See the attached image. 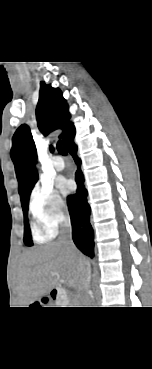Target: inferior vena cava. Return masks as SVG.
I'll use <instances>...</instances> for the list:
<instances>
[{
    "label": "inferior vena cava",
    "mask_w": 152,
    "mask_h": 369,
    "mask_svg": "<svg viewBox=\"0 0 152 369\" xmlns=\"http://www.w3.org/2000/svg\"><path fill=\"white\" fill-rule=\"evenodd\" d=\"M59 242L65 245L66 250L70 253L76 251V247L72 241V227L68 216H65L60 221V236ZM91 279V270L88 264L81 266V287L83 289L84 307H92L93 299L89 294V284Z\"/></svg>",
    "instance_id": "obj_1"
}]
</instances>
